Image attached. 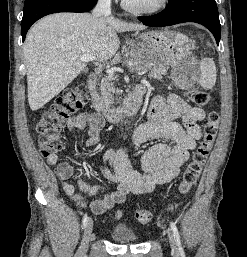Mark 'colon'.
Wrapping results in <instances>:
<instances>
[{
	"mask_svg": "<svg viewBox=\"0 0 247 257\" xmlns=\"http://www.w3.org/2000/svg\"><path fill=\"white\" fill-rule=\"evenodd\" d=\"M189 99L197 106H206L210 103V95L200 89H191L188 92ZM87 103L86 87L77 84L65 89L54 101L51 107L45 111L36 125L38 133V145L43 156L56 154L62 148L61 130L66 120L75 111L83 108ZM219 114L210 111L203 126V137L192 159L182 174L177 192L179 195L187 194L197 182L202 168L210 154L213 143L218 133ZM117 212L115 218H120ZM140 224H147L152 214L147 209H140L135 213Z\"/></svg>",
	"mask_w": 247,
	"mask_h": 257,
	"instance_id": "obj_1",
	"label": "colon"
}]
</instances>
